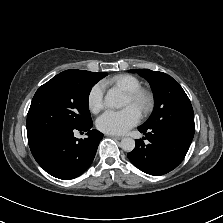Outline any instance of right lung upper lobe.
Here are the masks:
<instances>
[{
  "label": "right lung upper lobe",
  "mask_w": 223,
  "mask_h": 223,
  "mask_svg": "<svg viewBox=\"0 0 223 223\" xmlns=\"http://www.w3.org/2000/svg\"><path fill=\"white\" fill-rule=\"evenodd\" d=\"M67 72H76V71H83V70H76V69H70V70H66ZM94 73V72H93ZM97 75L99 76H104L105 74L107 73H104V72H98L96 73Z\"/></svg>",
  "instance_id": "cb5924a9"
}]
</instances>
